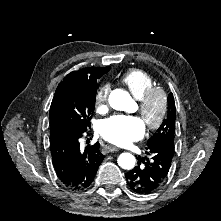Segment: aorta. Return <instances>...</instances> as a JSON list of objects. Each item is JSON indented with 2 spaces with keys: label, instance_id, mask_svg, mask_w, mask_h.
<instances>
[{
  "label": "aorta",
  "instance_id": "obj_1",
  "mask_svg": "<svg viewBox=\"0 0 221 221\" xmlns=\"http://www.w3.org/2000/svg\"><path fill=\"white\" fill-rule=\"evenodd\" d=\"M109 104L115 110L129 111L135 102L128 92L115 89L109 95ZM117 161L121 168L127 170L133 169L136 163V159L131 153H122Z\"/></svg>",
  "mask_w": 221,
  "mask_h": 221
}]
</instances>
